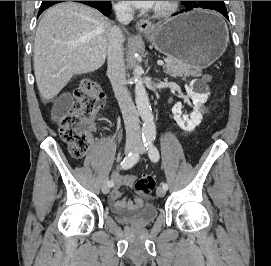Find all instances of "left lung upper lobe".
I'll return each mask as SVG.
<instances>
[{
  "mask_svg": "<svg viewBox=\"0 0 271 266\" xmlns=\"http://www.w3.org/2000/svg\"><path fill=\"white\" fill-rule=\"evenodd\" d=\"M186 8H205L218 12L226 11L224 1H181Z\"/></svg>",
  "mask_w": 271,
  "mask_h": 266,
  "instance_id": "1",
  "label": "left lung upper lobe"
}]
</instances>
